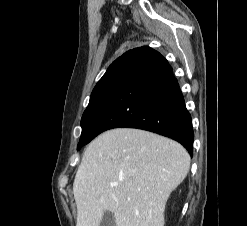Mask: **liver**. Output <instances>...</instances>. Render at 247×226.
<instances>
[{"label": "liver", "mask_w": 247, "mask_h": 226, "mask_svg": "<svg viewBox=\"0 0 247 226\" xmlns=\"http://www.w3.org/2000/svg\"><path fill=\"white\" fill-rule=\"evenodd\" d=\"M190 156L179 143L138 129L106 131L86 148L74 183L76 226H164L171 192L185 179Z\"/></svg>", "instance_id": "liver-1"}]
</instances>
